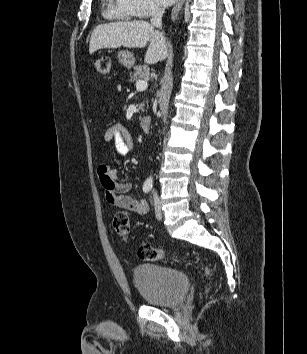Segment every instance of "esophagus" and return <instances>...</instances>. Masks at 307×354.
I'll list each match as a JSON object with an SVG mask.
<instances>
[{
	"label": "esophagus",
	"mask_w": 307,
	"mask_h": 354,
	"mask_svg": "<svg viewBox=\"0 0 307 354\" xmlns=\"http://www.w3.org/2000/svg\"><path fill=\"white\" fill-rule=\"evenodd\" d=\"M184 1L185 0H178L177 4L173 8L172 13H171V20L172 21H174L177 18V16L179 15V13L182 9V6L184 4Z\"/></svg>",
	"instance_id": "1"
}]
</instances>
